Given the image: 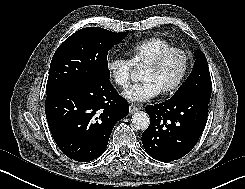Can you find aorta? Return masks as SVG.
Masks as SVG:
<instances>
[{
	"mask_svg": "<svg viewBox=\"0 0 245 189\" xmlns=\"http://www.w3.org/2000/svg\"><path fill=\"white\" fill-rule=\"evenodd\" d=\"M133 79L134 76H133ZM150 124V118L144 111L135 112L132 116V125L137 130H146Z\"/></svg>",
	"mask_w": 245,
	"mask_h": 189,
	"instance_id": "762f6f07",
	"label": "aorta"
}]
</instances>
